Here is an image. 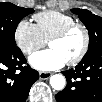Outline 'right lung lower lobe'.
<instances>
[{
	"instance_id": "98d812e1",
	"label": "right lung lower lobe",
	"mask_w": 102,
	"mask_h": 102,
	"mask_svg": "<svg viewBox=\"0 0 102 102\" xmlns=\"http://www.w3.org/2000/svg\"><path fill=\"white\" fill-rule=\"evenodd\" d=\"M26 59L17 47H0V101L25 102L32 84L39 78L37 71L23 66Z\"/></svg>"
}]
</instances>
